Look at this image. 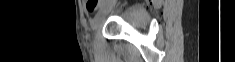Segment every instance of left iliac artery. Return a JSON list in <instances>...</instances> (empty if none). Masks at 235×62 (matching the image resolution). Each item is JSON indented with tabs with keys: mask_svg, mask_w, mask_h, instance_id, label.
<instances>
[{
	"mask_svg": "<svg viewBox=\"0 0 235 62\" xmlns=\"http://www.w3.org/2000/svg\"><path fill=\"white\" fill-rule=\"evenodd\" d=\"M104 4V2H101L100 6H102Z\"/></svg>",
	"mask_w": 235,
	"mask_h": 62,
	"instance_id": "1",
	"label": "left iliac artery"
}]
</instances>
